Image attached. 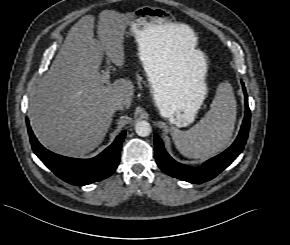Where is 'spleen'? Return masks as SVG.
Instances as JSON below:
<instances>
[{"mask_svg": "<svg viewBox=\"0 0 290 245\" xmlns=\"http://www.w3.org/2000/svg\"><path fill=\"white\" fill-rule=\"evenodd\" d=\"M236 120V100L230 83L219 84L210 110L192 128H172L176 148L188 158L207 159L225 149L231 140Z\"/></svg>", "mask_w": 290, "mask_h": 245, "instance_id": "obj_1", "label": "spleen"}]
</instances>
